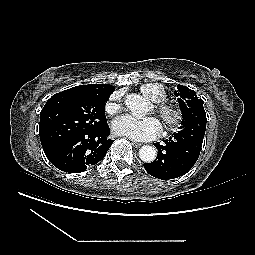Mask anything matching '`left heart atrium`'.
I'll return each instance as SVG.
<instances>
[{
	"instance_id": "1",
	"label": "left heart atrium",
	"mask_w": 255,
	"mask_h": 255,
	"mask_svg": "<svg viewBox=\"0 0 255 255\" xmlns=\"http://www.w3.org/2000/svg\"><path fill=\"white\" fill-rule=\"evenodd\" d=\"M112 130L116 135L137 141H148L160 135L161 124L154 117L139 120L130 115H122L112 122Z\"/></svg>"
}]
</instances>
